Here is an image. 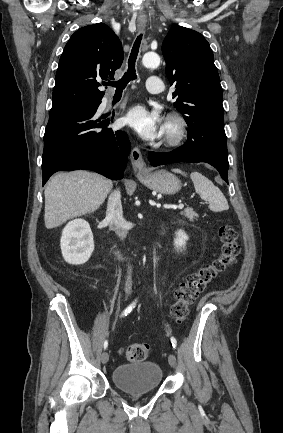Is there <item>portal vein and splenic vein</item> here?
I'll return each instance as SVG.
<instances>
[{"mask_svg":"<svg viewBox=\"0 0 283 433\" xmlns=\"http://www.w3.org/2000/svg\"><path fill=\"white\" fill-rule=\"evenodd\" d=\"M184 204H178V206H176V208H183Z\"/></svg>","mask_w":283,"mask_h":433,"instance_id":"portal-vein-and-splenic-vein-1","label":"portal vein and splenic vein"}]
</instances>
